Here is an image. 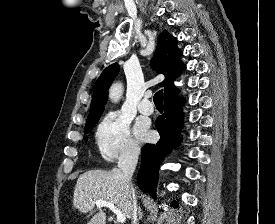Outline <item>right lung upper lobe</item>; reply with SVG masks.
<instances>
[{
    "label": "right lung upper lobe",
    "mask_w": 275,
    "mask_h": 224,
    "mask_svg": "<svg viewBox=\"0 0 275 224\" xmlns=\"http://www.w3.org/2000/svg\"><path fill=\"white\" fill-rule=\"evenodd\" d=\"M176 39L164 31L158 38L157 50L152 59V67L165 76L160 84L164 93L174 88V80L185 69L180 57L182 52L176 45ZM120 66L114 63L108 66L98 78L93 92L90 112L86 124L100 118L108 98V89L119 72Z\"/></svg>",
    "instance_id": "right-lung-upper-lobe-1"
}]
</instances>
